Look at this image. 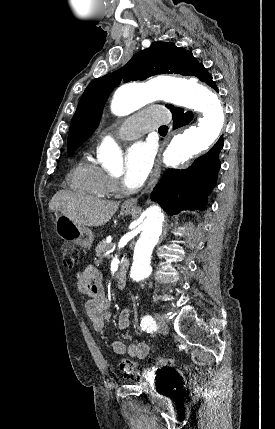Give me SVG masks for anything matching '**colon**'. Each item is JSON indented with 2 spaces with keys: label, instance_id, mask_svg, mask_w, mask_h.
Here are the masks:
<instances>
[{
  "label": "colon",
  "instance_id": "obj_1",
  "mask_svg": "<svg viewBox=\"0 0 275 429\" xmlns=\"http://www.w3.org/2000/svg\"><path fill=\"white\" fill-rule=\"evenodd\" d=\"M63 253V264L67 268H72L78 262L79 259V251L78 249L71 243L66 242L62 246ZM154 370L157 372H161L163 370H170L173 366V360L169 357H157L152 360ZM121 368L126 371L133 379H138L140 377V373L136 364L125 360L121 363Z\"/></svg>",
  "mask_w": 275,
  "mask_h": 429
}]
</instances>
